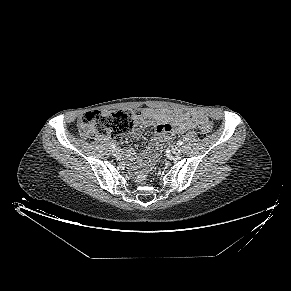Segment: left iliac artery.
<instances>
[{"label": "left iliac artery", "mask_w": 291, "mask_h": 291, "mask_svg": "<svg viewBox=\"0 0 291 291\" xmlns=\"http://www.w3.org/2000/svg\"><path fill=\"white\" fill-rule=\"evenodd\" d=\"M182 143H183V142H182L181 140H178V141H177V145H179V146H181Z\"/></svg>", "instance_id": "1"}]
</instances>
